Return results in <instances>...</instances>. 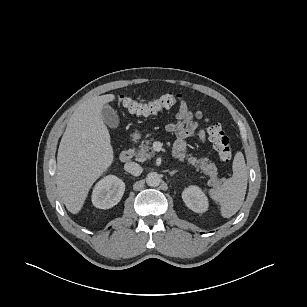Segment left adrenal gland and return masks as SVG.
I'll use <instances>...</instances> for the list:
<instances>
[{
    "mask_svg": "<svg viewBox=\"0 0 307 307\" xmlns=\"http://www.w3.org/2000/svg\"><path fill=\"white\" fill-rule=\"evenodd\" d=\"M177 170L169 171L170 176H173L175 173H177Z\"/></svg>",
    "mask_w": 307,
    "mask_h": 307,
    "instance_id": "obj_1",
    "label": "left adrenal gland"
}]
</instances>
